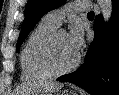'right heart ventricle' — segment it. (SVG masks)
<instances>
[{"instance_id": "right-heart-ventricle-1", "label": "right heart ventricle", "mask_w": 119, "mask_h": 95, "mask_svg": "<svg viewBox=\"0 0 119 95\" xmlns=\"http://www.w3.org/2000/svg\"><path fill=\"white\" fill-rule=\"evenodd\" d=\"M57 27L44 17L30 33L20 55L24 80H45L51 76L43 67L40 54L45 40Z\"/></svg>"}]
</instances>
